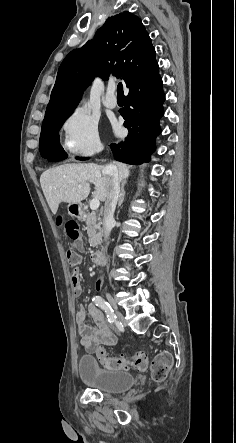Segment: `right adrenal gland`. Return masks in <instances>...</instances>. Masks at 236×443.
Returning a JSON list of instances; mask_svg holds the SVG:
<instances>
[{"label":"right adrenal gland","instance_id":"obj_1","mask_svg":"<svg viewBox=\"0 0 236 443\" xmlns=\"http://www.w3.org/2000/svg\"><path fill=\"white\" fill-rule=\"evenodd\" d=\"M125 184H126V182H122V184H121V193H120V196H119V201H118V208L119 207H121V205H122V203H123V201H124V197H125V189H124V187H125Z\"/></svg>","mask_w":236,"mask_h":443}]
</instances>
